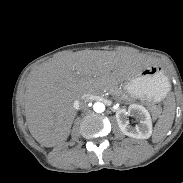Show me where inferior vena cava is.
<instances>
[{"mask_svg": "<svg viewBox=\"0 0 183 183\" xmlns=\"http://www.w3.org/2000/svg\"><path fill=\"white\" fill-rule=\"evenodd\" d=\"M89 100L90 98L87 95H83L80 99L74 101V108L79 109L83 107Z\"/></svg>", "mask_w": 183, "mask_h": 183, "instance_id": "602c4592", "label": "inferior vena cava"}]
</instances>
